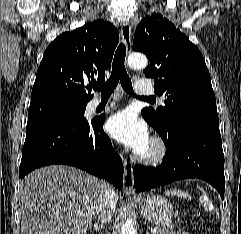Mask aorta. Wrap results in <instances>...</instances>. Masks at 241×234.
<instances>
[{"instance_id":"1","label":"aorta","mask_w":241,"mask_h":234,"mask_svg":"<svg viewBox=\"0 0 241 234\" xmlns=\"http://www.w3.org/2000/svg\"><path fill=\"white\" fill-rule=\"evenodd\" d=\"M148 64L147 57L140 53H133L128 57V65L133 69H144ZM121 234H137L136 228L132 224L131 219L122 225Z\"/></svg>"}]
</instances>
